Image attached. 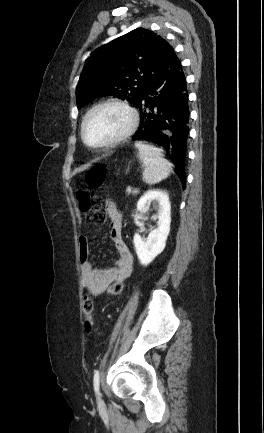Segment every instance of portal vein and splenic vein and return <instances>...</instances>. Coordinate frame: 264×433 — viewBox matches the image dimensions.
Wrapping results in <instances>:
<instances>
[{
  "label": "portal vein and splenic vein",
  "mask_w": 264,
  "mask_h": 433,
  "mask_svg": "<svg viewBox=\"0 0 264 433\" xmlns=\"http://www.w3.org/2000/svg\"><path fill=\"white\" fill-rule=\"evenodd\" d=\"M126 191H127V193H131L132 189L130 187H127Z\"/></svg>",
  "instance_id": "portal-vein-and-splenic-vein-1"
}]
</instances>
